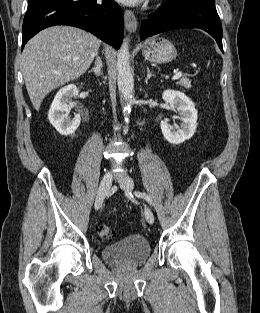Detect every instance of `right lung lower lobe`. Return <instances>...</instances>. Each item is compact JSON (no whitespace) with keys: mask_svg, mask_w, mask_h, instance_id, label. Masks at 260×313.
I'll use <instances>...</instances> for the list:
<instances>
[{"mask_svg":"<svg viewBox=\"0 0 260 313\" xmlns=\"http://www.w3.org/2000/svg\"><path fill=\"white\" fill-rule=\"evenodd\" d=\"M53 25L79 27L115 48L123 39V13L113 0H28L22 49L36 33Z\"/></svg>","mask_w":260,"mask_h":313,"instance_id":"obj_1","label":"right lung lower lobe"}]
</instances>
